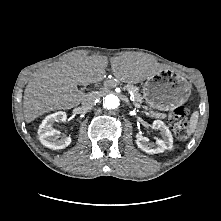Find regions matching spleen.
I'll list each match as a JSON object with an SVG mask.
<instances>
[{"label":"spleen","instance_id":"spleen-1","mask_svg":"<svg viewBox=\"0 0 221 221\" xmlns=\"http://www.w3.org/2000/svg\"><path fill=\"white\" fill-rule=\"evenodd\" d=\"M197 122H198V112L195 111L190 118L189 128L191 133L195 132L197 127Z\"/></svg>","mask_w":221,"mask_h":221}]
</instances>
